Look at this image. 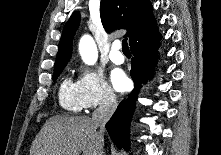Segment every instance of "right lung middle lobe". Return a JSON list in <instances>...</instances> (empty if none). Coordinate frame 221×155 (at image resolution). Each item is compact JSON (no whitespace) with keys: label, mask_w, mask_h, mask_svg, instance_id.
Returning <instances> with one entry per match:
<instances>
[{"label":"right lung middle lobe","mask_w":221,"mask_h":155,"mask_svg":"<svg viewBox=\"0 0 221 155\" xmlns=\"http://www.w3.org/2000/svg\"><path fill=\"white\" fill-rule=\"evenodd\" d=\"M65 66L66 65H63L54 69L53 81H55L58 78Z\"/></svg>","instance_id":"obj_1"}]
</instances>
